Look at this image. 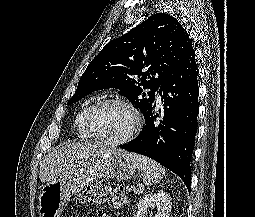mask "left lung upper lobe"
Here are the masks:
<instances>
[{
    "instance_id": "left-lung-upper-lobe-1",
    "label": "left lung upper lobe",
    "mask_w": 255,
    "mask_h": 217,
    "mask_svg": "<svg viewBox=\"0 0 255 217\" xmlns=\"http://www.w3.org/2000/svg\"><path fill=\"white\" fill-rule=\"evenodd\" d=\"M192 48L177 19L166 13L154 14L102 49L81 76L68 104L97 90L117 88L146 117L155 91ZM144 89L151 90L146 93Z\"/></svg>"
}]
</instances>
